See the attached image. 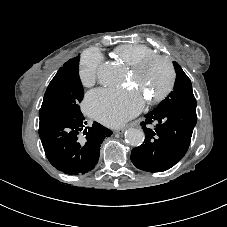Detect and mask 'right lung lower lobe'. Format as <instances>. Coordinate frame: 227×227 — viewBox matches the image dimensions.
I'll return each mask as SVG.
<instances>
[{"instance_id": "right-lung-lower-lobe-1", "label": "right lung lower lobe", "mask_w": 227, "mask_h": 227, "mask_svg": "<svg viewBox=\"0 0 227 227\" xmlns=\"http://www.w3.org/2000/svg\"><path fill=\"white\" fill-rule=\"evenodd\" d=\"M84 120L62 117L39 128L47 159L65 174L79 175L92 170L99 159L100 144L112 134L97 122L87 129Z\"/></svg>"}]
</instances>
